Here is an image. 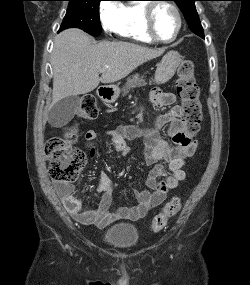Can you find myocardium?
Instances as JSON below:
<instances>
[{
    "mask_svg": "<svg viewBox=\"0 0 250 285\" xmlns=\"http://www.w3.org/2000/svg\"><path fill=\"white\" fill-rule=\"evenodd\" d=\"M161 5H165L169 8H171L173 10V12L175 13V15L177 17V21H178L177 30H176L175 34L173 35V37H171L169 39H163V38L159 37L155 31V28H154L155 12H156V9ZM144 26H145L146 34L153 41L158 42V43L168 44V43L175 41L177 39V37L179 36V34L182 30V27H183V18H182V15H181L179 8L174 3L170 2V1L164 0V1H160V2H149L146 4V7H145Z\"/></svg>",
    "mask_w": 250,
    "mask_h": 285,
    "instance_id": "myocardium-1",
    "label": "myocardium"
}]
</instances>
